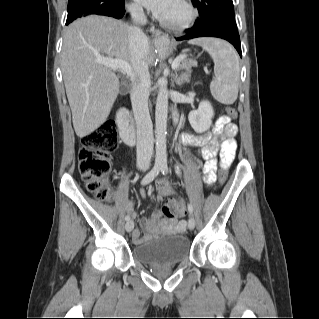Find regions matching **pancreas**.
<instances>
[{
    "mask_svg": "<svg viewBox=\"0 0 319 319\" xmlns=\"http://www.w3.org/2000/svg\"><path fill=\"white\" fill-rule=\"evenodd\" d=\"M197 66L196 61L192 59H182L181 63L178 66V70H184L183 74L187 75L191 72V68Z\"/></svg>",
    "mask_w": 319,
    "mask_h": 319,
    "instance_id": "pancreas-1",
    "label": "pancreas"
}]
</instances>
